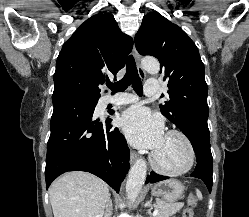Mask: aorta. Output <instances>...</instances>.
<instances>
[{
	"instance_id": "obj_1",
	"label": "aorta",
	"mask_w": 249,
	"mask_h": 217,
	"mask_svg": "<svg viewBox=\"0 0 249 217\" xmlns=\"http://www.w3.org/2000/svg\"><path fill=\"white\" fill-rule=\"evenodd\" d=\"M143 68L149 73H157L160 69L159 62L155 58L142 59ZM146 162L143 158L138 159L131 167L126 182V195L129 202H134L138 196L146 178Z\"/></svg>"
}]
</instances>
